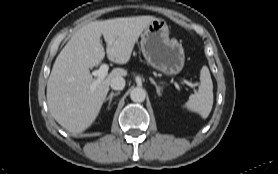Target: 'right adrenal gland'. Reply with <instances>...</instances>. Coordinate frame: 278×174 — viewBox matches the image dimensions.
<instances>
[{
  "instance_id": "obj_1",
  "label": "right adrenal gland",
  "mask_w": 278,
  "mask_h": 174,
  "mask_svg": "<svg viewBox=\"0 0 278 174\" xmlns=\"http://www.w3.org/2000/svg\"><path fill=\"white\" fill-rule=\"evenodd\" d=\"M119 94H120V92H116V93L111 92L110 95L104 100V102L109 101L108 107H107L108 109H110V104L112 102L113 97L118 96Z\"/></svg>"
}]
</instances>
